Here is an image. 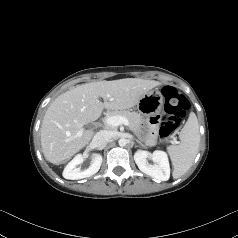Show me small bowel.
I'll list each match as a JSON object with an SVG mask.
<instances>
[{"label":"small bowel","instance_id":"small-bowel-1","mask_svg":"<svg viewBox=\"0 0 238 238\" xmlns=\"http://www.w3.org/2000/svg\"><path fill=\"white\" fill-rule=\"evenodd\" d=\"M161 121V116L158 113H153L149 118H148V123L151 125V137L150 141L153 142L156 133H157V127L156 125Z\"/></svg>","mask_w":238,"mask_h":238}]
</instances>
